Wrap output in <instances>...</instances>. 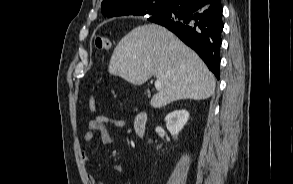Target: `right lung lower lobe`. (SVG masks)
Instances as JSON below:
<instances>
[{
	"label": "right lung lower lobe",
	"instance_id": "right-lung-lower-lobe-1",
	"mask_svg": "<svg viewBox=\"0 0 293 184\" xmlns=\"http://www.w3.org/2000/svg\"><path fill=\"white\" fill-rule=\"evenodd\" d=\"M201 0H172L161 16L149 19L165 26L194 49L219 79L223 30L220 0L204 6Z\"/></svg>",
	"mask_w": 293,
	"mask_h": 184
}]
</instances>
